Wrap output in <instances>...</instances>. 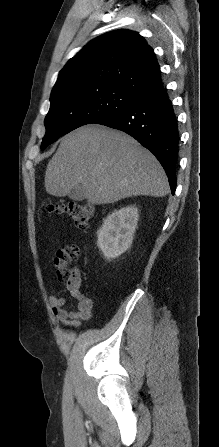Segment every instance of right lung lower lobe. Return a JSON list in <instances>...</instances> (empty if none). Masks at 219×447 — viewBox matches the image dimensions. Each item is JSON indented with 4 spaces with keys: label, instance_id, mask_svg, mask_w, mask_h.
Instances as JSON below:
<instances>
[{
    "label": "right lung lower lobe",
    "instance_id": "1",
    "mask_svg": "<svg viewBox=\"0 0 219 447\" xmlns=\"http://www.w3.org/2000/svg\"><path fill=\"white\" fill-rule=\"evenodd\" d=\"M96 124L121 130L149 149L164 168L171 192L175 193L179 130L177 117L165 88L161 87Z\"/></svg>",
    "mask_w": 219,
    "mask_h": 447
}]
</instances>
